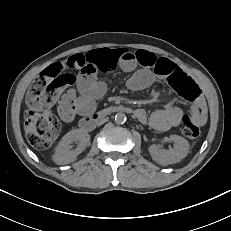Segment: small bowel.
Here are the masks:
<instances>
[{
    "label": "small bowel",
    "instance_id": "c3829d8e",
    "mask_svg": "<svg viewBox=\"0 0 231 231\" xmlns=\"http://www.w3.org/2000/svg\"><path fill=\"white\" fill-rule=\"evenodd\" d=\"M66 70L77 73L75 84L78 95L72 90L58 99V113L64 122H71L76 114H88L94 109V101L104 91V84L99 81L101 73L117 68L126 72L134 71L128 79L131 90L147 88L155 77L167 80L171 75L184 73L173 61L166 57H157L147 50L130 51L124 48H104L73 55L61 62ZM139 67V69H137ZM185 74V73H184ZM137 119L148 123L157 131H167L180 124L184 117L198 125L206 121L205 102L200 96L191 106V116L175 106H168L154 111L149 117L143 109L136 110Z\"/></svg>",
    "mask_w": 231,
    "mask_h": 231
}]
</instances>
